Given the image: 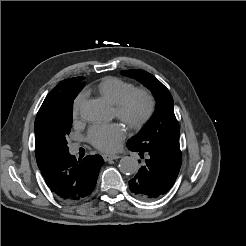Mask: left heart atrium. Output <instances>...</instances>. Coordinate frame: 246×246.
I'll return each mask as SVG.
<instances>
[{"label": "left heart atrium", "instance_id": "39dd6f15", "mask_svg": "<svg viewBox=\"0 0 246 246\" xmlns=\"http://www.w3.org/2000/svg\"><path fill=\"white\" fill-rule=\"evenodd\" d=\"M126 129L121 123H98L88 131L89 142L103 152L116 151L125 138Z\"/></svg>", "mask_w": 246, "mask_h": 246}]
</instances>
